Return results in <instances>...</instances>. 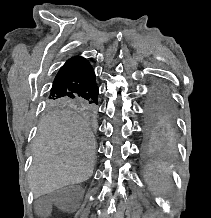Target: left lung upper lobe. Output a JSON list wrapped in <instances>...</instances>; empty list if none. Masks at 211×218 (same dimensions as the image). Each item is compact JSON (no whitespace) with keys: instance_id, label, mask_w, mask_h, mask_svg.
Listing matches in <instances>:
<instances>
[{"instance_id":"1","label":"left lung upper lobe","mask_w":211,"mask_h":218,"mask_svg":"<svg viewBox=\"0 0 211 218\" xmlns=\"http://www.w3.org/2000/svg\"><path fill=\"white\" fill-rule=\"evenodd\" d=\"M146 115L149 125L153 128L172 118L173 107L163 89L157 88L151 92L146 106Z\"/></svg>"}]
</instances>
